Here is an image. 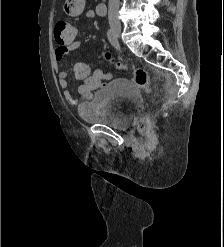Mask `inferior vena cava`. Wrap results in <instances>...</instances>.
Masks as SVG:
<instances>
[{
    "instance_id": "1",
    "label": "inferior vena cava",
    "mask_w": 224,
    "mask_h": 247,
    "mask_svg": "<svg viewBox=\"0 0 224 247\" xmlns=\"http://www.w3.org/2000/svg\"><path fill=\"white\" fill-rule=\"evenodd\" d=\"M119 2L120 0H109V8H108L109 24H117V26H120V22L118 20Z\"/></svg>"
}]
</instances>
